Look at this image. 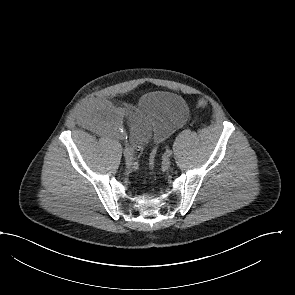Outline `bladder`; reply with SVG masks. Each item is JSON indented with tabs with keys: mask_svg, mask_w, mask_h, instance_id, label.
Masks as SVG:
<instances>
[{
	"mask_svg": "<svg viewBox=\"0 0 295 295\" xmlns=\"http://www.w3.org/2000/svg\"><path fill=\"white\" fill-rule=\"evenodd\" d=\"M152 129L155 139L161 140L172 130L184 124L188 106L178 94L170 91H153L145 94L137 107Z\"/></svg>",
	"mask_w": 295,
	"mask_h": 295,
	"instance_id": "1",
	"label": "bladder"
}]
</instances>
